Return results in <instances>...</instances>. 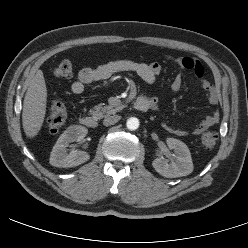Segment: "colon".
<instances>
[{"label": "colon", "mask_w": 248, "mask_h": 248, "mask_svg": "<svg viewBox=\"0 0 248 248\" xmlns=\"http://www.w3.org/2000/svg\"><path fill=\"white\" fill-rule=\"evenodd\" d=\"M73 74V65L69 59L60 61L54 68V75L58 78H70ZM67 119V110L62 102L55 101L51 104L47 119V128L50 132H57ZM216 131H205L201 135L202 145L207 149H212L218 141Z\"/></svg>", "instance_id": "1"}]
</instances>
